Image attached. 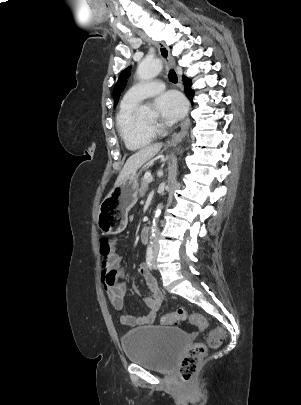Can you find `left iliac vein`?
<instances>
[{
    "mask_svg": "<svg viewBox=\"0 0 301 405\" xmlns=\"http://www.w3.org/2000/svg\"><path fill=\"white\" fill-rule=\"evenodd\" d=\"M152 264H153V268L156 269L155 256H154V258H153V263H152Z\"/></svg>",
    "mask_w": 301,
    "mask_h": 405,
    "instance_id": "obj_1",
    "label": "left iliac vein"
}]
</instances>
